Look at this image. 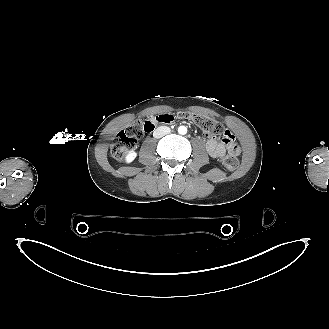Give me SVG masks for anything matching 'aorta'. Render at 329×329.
<instances>
[{
    "instance_id": "762f6f07",
    "label": "aorta",
    "mask_w": 329,
    "mask_h": 329,
    "mask_svg": "<svg viewBox=\"0 0 329 329\" xmlns=\"http://www.w3.org/2000/svg\"><path fill=\"white\" fill-rule=\"evenodd\" d=\"M178 133L181 135H185L187 133V128L185 126H180L178 128Z\"/></svg>"
}]
</instances>
